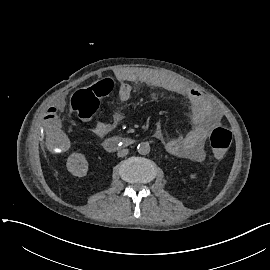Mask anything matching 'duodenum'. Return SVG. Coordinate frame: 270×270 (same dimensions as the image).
Masks as SVG:
<instances>
[{"instance_id": "410a0bca", "label": "duodenum", "mask_w": 270, "mask_h": 270, "mask_svg": "<svg viewBox=\"0 0 270 270\" xmlns=\"http://www.w3.org/2000/svg\"><path fill=\"white\" fill-rule=\"evenodd\" d=\"M133 144V140L127 137H110L105 139L103 147L109 152L116 151L118 149L130 146Z\"/></svg>"}]
</instances>
